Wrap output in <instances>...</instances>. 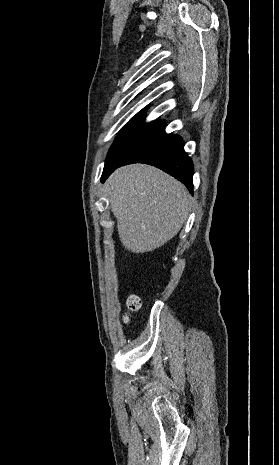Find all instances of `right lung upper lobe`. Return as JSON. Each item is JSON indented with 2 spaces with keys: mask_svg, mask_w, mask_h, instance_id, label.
<instances>
[{
  "mask_svg": "<svg viewBox=\"0 0 279 465\" xmlns=\"http://www.w3.org/2000/svg\"><path fill=\"white\" fill-rule=\"evenodd\" d=\"M145 116H146V113H144V112L141 111V112H139L137 115H135V116L130 120V122H131L132 124H134V123H135V124H146V123H140V122L145 118ZM156 125L164 126L165 123H164L163 121H157V122H156Z\"/></svg>",
  "mask_w": 279,
  "mask_h": 465,
  "instance_id": "cb5924a9",
  "label": "right lung upper lobe"
}]
</instances>
